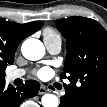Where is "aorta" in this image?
<instances>
[{"mask_svg":"<svg viewBox=\"0 0 107 107\" xmlns=\"http://www.w3.org/2000/svg\"><path fill=\"white\" fill-rule=\"evenodd\" d=\"M21 51L26 59L37 61L44 56L45 47L38 39L30 38L23 42ZM41 102L44 107H57L59 105L58 97L54 94L43 95Z\"/></svg>","mask_w":107,"mask_h":107,"instance_id":"obj_1","label":"aorta"}]
</instances>
